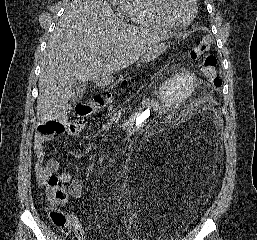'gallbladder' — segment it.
<instances>
[{"mask_svg":"<svg viewBox=\"0 0 257 240\" xmlns=\"http://www.w3.org/2000/svg\"><path fill=\"white\" fill-rule=\"evenodd\" d=\"M86 88H87V83L85 81H80L78 79L74 80L70 102L73 104L79 102Z\"/></svg>","mask_w":257,"mask_h":240,"instance_id":"bac80fb5","label":"gallbladder"}]
</instances>
